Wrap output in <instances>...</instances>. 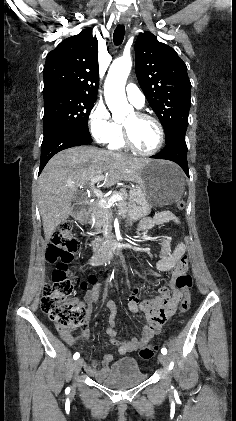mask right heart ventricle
<instances>
[{
	"label": "right heart ventricle",
	"mask_w": 236,
	"mask_h": 421,
	"mask_svg": "<svg viewBox=\"0 0 236 421\" xmlns=\"http://www.w3.org/2000/svg\"><path fill=\"white\" fill-rule=\"evenodd\" d=\"M109 149L111 150H122L125 148L123 137H122V128L120 126L119 131L116 133V135L112 138V140L108 143Z\"/></svg>",
	"instance_id": "1"
}]
</instances>
